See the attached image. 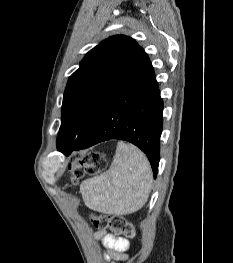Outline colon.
Wrapping results in <instances>:
<instances>
[{
  "instance_id": "obj_1",
  "label": "colon",
  "mask_w": 233,
  "mask_h": 263,
  "mask_svg": "<svg viewBox=\"0 0 233 263\" xmlns=\"http://www.w3.org/2000/svg\"><path fill=\"white\" fill-rule=\"evenodd\" d=\"M104 156L97 151L79 156L70 166L72 182L76 183L85 175H94L106 168ZM92 223L99 229H110L126 238L135 235L133 224L122 215H98L92 217Z\"/></svg>"
}]
</instances>
